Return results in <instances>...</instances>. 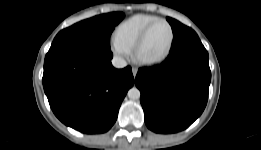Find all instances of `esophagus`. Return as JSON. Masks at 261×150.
Here are the masks:
<instances>
[{
	"label": "esophagus",
	"instance_id": "1",
	"mask_svg": "<svg viewBox=\"0 0 261 150\" xmlns=\"http://www.w3.org/2000/svg\"><path fill=\"white\" fill-rule=\"evenodd\" d=\"M137 72H138V69H137L136 67H133V68H132L133 77H136Z\"/></svg>",
	"mask_w": 261,
	"mask_h": 150
}]
</instances>
